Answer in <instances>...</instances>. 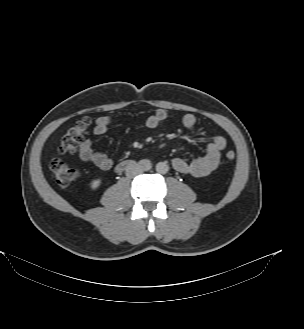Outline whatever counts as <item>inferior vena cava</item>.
Wrapping results in <instances>:
<instances>
[{
    "label": "inferior vena cava",
    "mask_w": 304,
    "mask_h": 329,
    "mask_svg": "<svg viewBox=\"0 0 304 329\" xmlns=\"http://www.w3.org/2000/svg\"><path fill=\"white\" fill-rule=\"evenodd\" d=\"M143 168L138 165H131L126 169V176L133 178L143 172Z\"/></svg>",
    "instance_id": "1"
}]
</instances>
